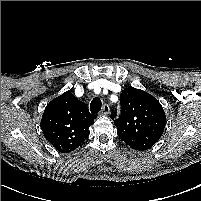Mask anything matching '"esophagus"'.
Segmentation results:
<instances>
[{"label": "esophagus", "mask_w": 201, "mask_h": 201, "mask_svg": "<svg viewBox=\"0 0 201 201\" xmlns=\"http://www.w3.org/2000/svg\"><path fill=\"white\" fill-rule=\"evenodd\" d=\"M109 113H110V107H109V105L105 104V105L102 107L101 114H103V115H108Z\"/></svg>", "instance_id": "1"}]
</instances>
